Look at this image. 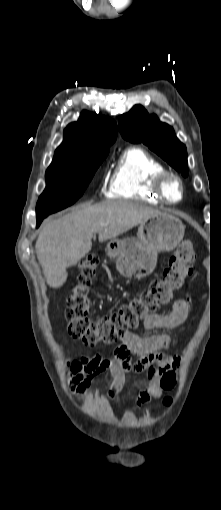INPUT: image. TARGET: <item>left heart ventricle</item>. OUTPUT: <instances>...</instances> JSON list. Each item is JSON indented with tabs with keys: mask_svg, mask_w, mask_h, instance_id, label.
Here are the masks:
<instances>
[{
	"mask_svg": "<svg viewBox=\"0 0 221 510\" xmlns=\"http://www.w3.org/2000/svg\"><path fill=\"white\" fill-rule=\"evenodd\" d=\"M167 192L171 199L176 200L180 197V190L176 183L170 181L167 185Z\"/></svg>",
	"mask_w": 221,
	"mask_h": 510,
	"instance_id": "left-heart-ventricle-1",
	"label": "left heart ventricle"
}]
</instances>
